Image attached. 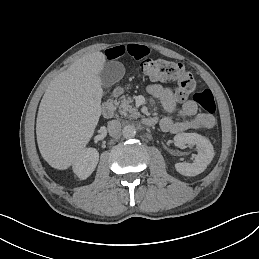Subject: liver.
Returning a JSON list of instances; mask_svg holds the SVG:
<instances>
[{
    "label": "liver",
    "instance_id": "1",
    "mask_svg": "<svg viewBox=\"0 0 259 259\" xmlns=\"http://www.w3.org/2000/svg\"><path fill=\"white\" fill-rule=\"evenodd\" d=\"M104 53L85 54L48 84L36 119V138L43 159L64 171L90 143L102 114V90L97 74Z\"/></svg>",
    "mask_w": 259,
    "mask_h": 259
}]
</instances>
